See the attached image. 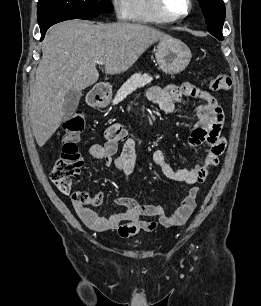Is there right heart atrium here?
Instances as JSON below:
<instances>
[{"label": "right heart atrium", "instance_id": "1", "mask_svg": "<svg viewBox=\"0 0 261 306\" xmlns=\"http://www.w3.org/2000/svg\"><path fill=\"white\" fill-rule=\"evenodd\" d=\"M113 12L118 20L129 18V0H110Z\"/></svg>", "mask_w": 261, "mask_h": 306}]
</instances>
